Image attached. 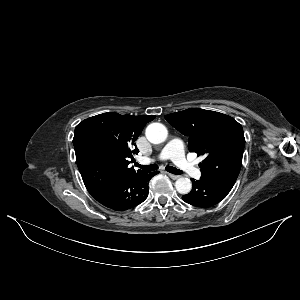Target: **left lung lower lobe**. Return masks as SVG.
Wrapping results in <instances>:
<instances>
[{"mask_svg": "<svg viewBox=\"0 0 300 300\" xmlns=\"http://www.w3.org/2000/svg\"><path fill=\"white\" fill-rule=\"evenodd\" d=\"M192 191L183 195L182 199L188 204L198 207H210L223 200L230 192V188L203 180L192 179Z\"/></svg>", "mask_w": 300, "mask_h": 300, "instance_id": "obj_1", "label": "left lung lower lobe"}]
</instances>
